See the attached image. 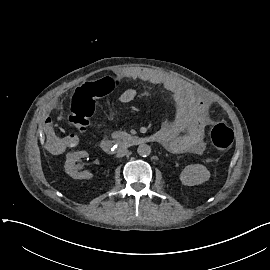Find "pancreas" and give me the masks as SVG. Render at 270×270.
<instances>
[{
  "instance_id": "cf45deb5",
  "label": "pancreas",
  "mask_w": 270,
  "mask_h": 270,
  "mask_svg": "<svg viewBox=\"0 0 270 270\" xmlns=\"http://www.w3.org/2000/svg\"><path fill=\"white\" fill-rule=\"evenodd\" d=\"M126 136H127V133H126V132L119 131V132H114V133L111 135V138L114 139V140L120 141V140H122V139H125Z\"/></svg>"
}]
</instances>
